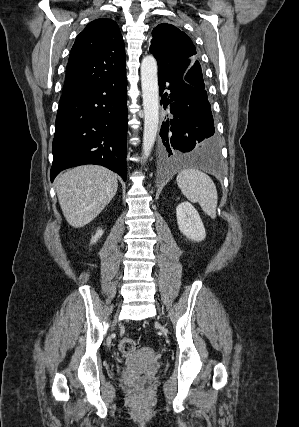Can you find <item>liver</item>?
<instances>
[{"mask_svg": "<svg viewBox=\"0 0 299 427\" xmlns=\"http://www.w3.org/2000/svg\"><path fill=\"white\" fill-rule=\"evenodd\" d=\"M117 176L97 165L78 166L56 179L58 200L67 222L80 228L96 218L115 196Z\"/></svg>", "mask_w": 299, "mask_h": 427, "instance_id": "1", "label": "liver"}]
</instances>
